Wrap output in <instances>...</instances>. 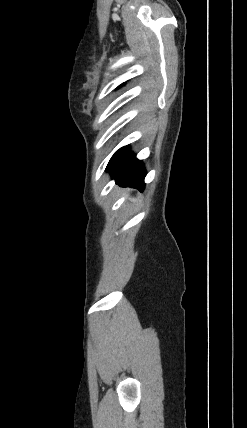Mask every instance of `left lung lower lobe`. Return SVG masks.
Returning a JSON list of instances; mask_svg holds the SVG:
<instances>
[{
	"label": "left lung lower lobe",
	"instance_id": "left-lung-lower-lobe-1",
	"mask_svg": "<svg viewBox=\"0 0 247 428\" xmlns=\"http://www.w3.org/2000/svg\"><path fill=\"white\" fill-rule=\"evenodd\" d=\"M112 178L121 186L144 189L146 171L142 162L129 151V146L120 148L110 159L107 168Z\"/></svg>",
	"mask_w": 247,
	"mask_h": 428
}]
</instances>
